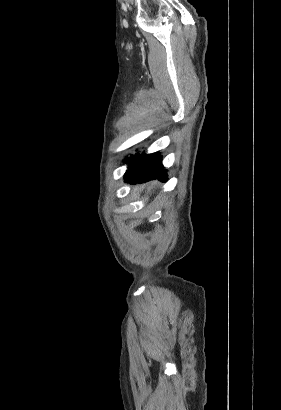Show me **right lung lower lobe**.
Wrapping results in <instances>:
<instances>
[{
    "label": "right lung lower lobe",
    "mask_w": 281,
    "mask_h": 410,
    "mask_svg": "<svg viewBox=\"0 0 281 410\" xmlns=\"http://www.w3.org/2000/svg\"><path fill=\"white\" fill-rule=\"evenodd\" d=\"M161 155L157 153L131 156L125 180L129 183H142L158 179L167 181V172L161 163Z\"/></svg>",
    "instance_id": "1"
}]
</instances>
